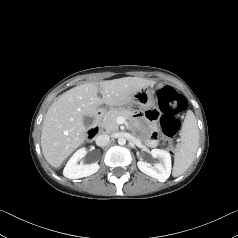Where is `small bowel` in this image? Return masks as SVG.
Here are the masks:
<instances>
[{
  "label": "small bowel",
  "instance_id": "small-bowel-1",
  "mask_svg": "<svg viewBox=\"0 0 238 238\" xmlns=\"http://www.w3.org/2000/svg\"><path fill=\"white\" fill-rule=\"evenodd\" d=\"M145 118L146 120L151 123V124H156L158 123L161 118H162V113L161 111L156 108V107H151L149 108L146 113H145ZM157 132L155 129H153L152 131H150L149 133H147L146 136V143L150 146V147H155L157 145Z\"/></svg>",
  "mask_w": 238,
  "mask_h": 238
}]
</instances>
